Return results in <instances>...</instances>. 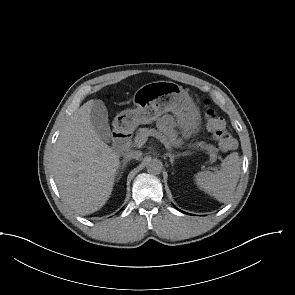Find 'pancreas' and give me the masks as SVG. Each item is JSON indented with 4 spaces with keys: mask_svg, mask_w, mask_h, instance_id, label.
Instances as JSON below:
<instances>
[{
    "mask_svg": "<svg viewBox=\"0 0 295 295\" xmlns=\"http://www.w3.org/2000/svg\"><path fill=\"white\" fill-rule=\"evenodd\" d=\"M151 132H157V130L149 129V128H139L138 132L136 133L133 145H137V143L141 137L150 136ZM158 134L163 135V137L169 143L170 146H175V147L179 146V142L176 140V137H175L176 135L173 131H167V132H164V134L159 132ZM192 146L193 147H200L201 149L208 151V153L210 154V156L213 159H215L217 157L218 149L211 144H206L205 142H197V143L193 144Z\"/></svg>",
    "mask_w": 295,
    "mask_h": 295,
    "instance_id": "pancreas-1",
    "label": "pancreas"
}]
</instances>
